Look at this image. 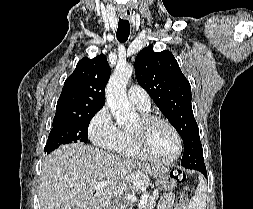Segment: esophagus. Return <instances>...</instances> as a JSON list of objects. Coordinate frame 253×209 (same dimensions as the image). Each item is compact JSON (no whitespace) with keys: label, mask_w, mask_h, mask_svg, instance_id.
Returning <instances> with one entry per match:
<instances>
[{"label":"esophagus","mask_w":253,"mask_h":209,"mask_svg":"<svg viewBox=\"0 0 253 209\" xmlns=\"http://www.w3.org/2000/svg\"><path fill=\"white\" fill-rule=\"evenodd\" d=\"M132 12L131 11H125L122 13V17L124 18H131Z\"/></svg>","instance_id":"34e87169"}]
</instances>
